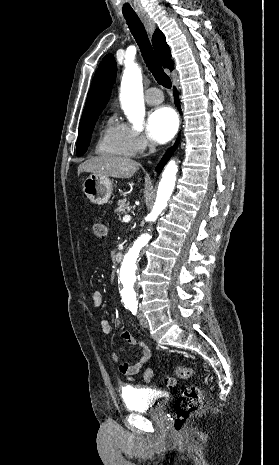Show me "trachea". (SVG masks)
<instances>
[{"label":"trachea","mask_w":279,"mask_h":465,"mask_svg":"<svg viewBox=\"0 0 279 465\" xmlns=\"http://www.w3.org/2000/svg\"><path fill=\"white\" fill-rule=\"evenodd\" d=\"M124 17L127 21L128 27L135 38L142 55L145 59V62L153 74L155 80L158 84L162 85L165 88L171 87V80L169 76L164 72L161 67L158 59L156 58L155 52L149 41L147 32L144 25L140 21L137 15L124 14Z\"/></svg>","instance_id":"obj_1"}]
</instances>
